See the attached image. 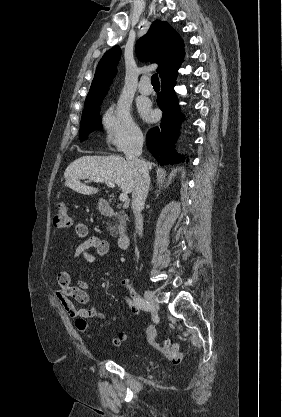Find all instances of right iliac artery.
Instances as JSON below:
<instances>
[{
    "label": "right iliac artery",
    "mask_w": 282,
    "mask_h": 417,
    "mask_svg": "<svg viewBox=\"0 0 282 417\" xmlns=\"http://www.w3.org/2000/svg\"><path fill=\"white\" fill-rule=\"evenodd\" d=\"M134 303H135V305H136L138 308H140V309H142V310H144V311H148V310L150 309V304H149V302H148V301H146L145 299H143L142 297H140L139 295H137V296L134 298Z\"/></svg>",
    "instance_id": "obj_1"
}]
</instances>
